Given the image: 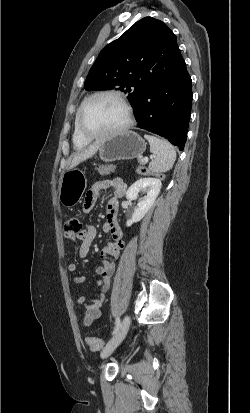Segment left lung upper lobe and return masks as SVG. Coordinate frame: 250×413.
<instances>
[{"label":"left lung upper lobe","mask_w":250,"mask_h":413,"mask_svg":"<svg viewBox=\"0 0 250 413\" xmlns=\"http://www.w3.org/2000/svg\"><path fill=\"white\" fill-rule=\"evenodd\" d=\"M175 34L160 20L145 17L98 55L85 80L86 90L116 88L133 106L143 84L158 74Z\"/></svg>","instance_id":"obj_1"}]
</instances>
